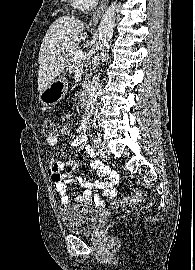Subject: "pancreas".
<instances>
[{
    "label": "pancreas",
    "mask_w": 195,
    "mask_h": 270,
    "mask_svg": "<svg viewBox=\"0 0 195 270\" xmlns=\"http://www.w3.org/2000/svg\"><path fill=\"white\" fill-rule=\"evenodd\" d=\"M74 53L75 52H73L70 55V57L68 59V62H67V70L69 72H71V73H73L78 68L79 65H82L83 64L82 61L81 62H78V61H75L74 60Z\"/></svg>",
    "instance_id": "1"
}]
</instances>
